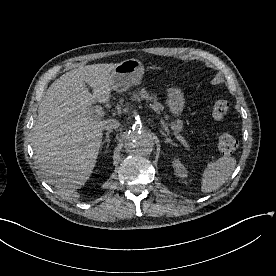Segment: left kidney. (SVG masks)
Returning <instances> with one entry per match:
<instances>
[{
	"label": "left kidney",
	"instance_id": "5707ae66",
	"mask_svg": "<svg viewBox=\"0 0 276 276\" xmlns=\"http://www.w3.org/2000/svg\"><path fill=\"white\" fill-rule=\"evenodd\" d=\"M172 163L176 176L181 178H185L188 176L187 168L180 162L179 159H174Z\"/></svg>",
	"mask_w": 276,
	"mask_h": 276
}]
</instances>
